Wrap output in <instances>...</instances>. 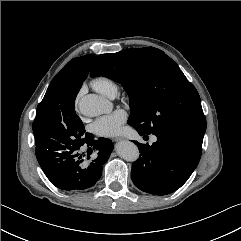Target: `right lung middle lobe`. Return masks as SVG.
<instances>
[{
	"mask_svg": "<svg viewBox=\"0 0 241 241\" xmlns=\"http://www.w3.org/2000/svg\"><path fill=\"white\" fill-rule=\"evenodd\" d=\"M74 100L60 107L51 99L38 104L33 122L34 136L42 143L69 149L82 146L89 138L81 119L75 113Z\"/></svg>",
	"mask_w": 241,
	"mask_h": 241,
	"instance_id": "obj_1",
	"label": "right lung middle lobe"
}]
</instances>
